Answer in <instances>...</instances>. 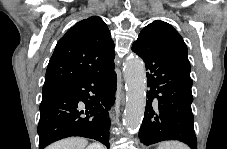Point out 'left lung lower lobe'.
I'll return each instance as SVG.
<instances>
[{
	"instance_id": "obj_1",
	"label": "left lung lower lobe",
	"mask_w": 227,
	"mask_h": 149,
	"mask_svg": "<svg viewBox=\"0 0 227 149\" xmlns=\"http://www.w3.org/2000/svg\"><path fill=\"white\" fill-rule=\"evenodd\" d=\"M132 51L143 58L150 87L139 130L140 142L149 146L164 140H179L191 149H197L190 73L149 28L140 32Z\"/></svg>"
}]
</instances>
